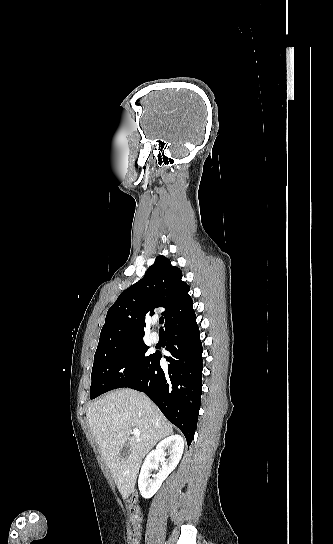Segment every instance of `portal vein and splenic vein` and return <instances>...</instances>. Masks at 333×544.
Returning <instances> with one entry per match:
<instances>
[{
	"mask_svg": "<svg viewBox=\"0 0 333 544\" xmlns=\"http://www.w3.org/2000/svg\"><path fill=\"white\" fill-rule=\"evenodd\" d=\"M132 433L136 438H139L141 436V432L139 429L134 428Z\"/></svg>",
	"mask_w": 333,
	"mask_h": 544,
	"instance_id": "obj_1",
	"label": "portal vein and splenic vein"
}]
</instances>
